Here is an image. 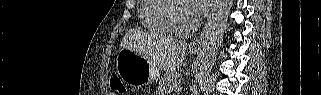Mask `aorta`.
I'll return each mask as SVG.
<instances>
[{"label":"aorta","mask_w":321,"mask_h":95,"mask_svg":"<svg viewBox=\"0 0 321 95\" xmlns=\"http://www.w3.org/2000/svg\"><path fill=\"white\" fill-rule=\"evenodd\" d=\"M233 0H215L199 56L196 79L202 85L209 76L222 41Z\"/></svg>","instance_id":"aorta-1"}]
</instances>
